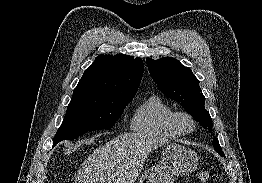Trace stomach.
Listing matches in <instances>:
<instances>
[{
  "label": "stomach",
  "instance_id": "obj_1",
  "mask_svg": "<svg viewBox=\"0 0 262 183\" xmlns=\"http://www.w3.org/2000/svg\"><path fill=\"white\" fill-rule=\"evenodd\" d=\"M198 165L197 154L176 143H167L161 162L145 171L138 183H174V176L192 173Z\"/></svg>",
  "mask_w": 262,
  "mask_h": 183
}]
</instances>
